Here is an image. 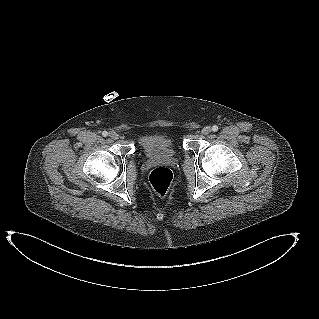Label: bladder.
<instances>
[{
	"label": "bladder",
	"mask_w": 319,
	"mask_h": 319,
	"mask_svg": "<svg viewBox=\"0 0 319 319\" xmlns=\"http://www.w3.org/2000/svg\"><path fill=\"white\" fill-rule=\"evenodd\" d=\"M139 149L147 158H174L178 154L175 140L165 133H154L139 139Z\"/></svg>",
	"instance_id": "31cf9c89"
}]
</instances>
